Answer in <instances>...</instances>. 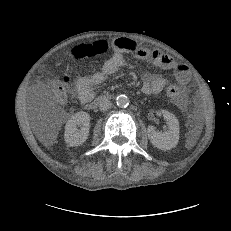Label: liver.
<instances>
[{
  "label": "liver",
  "instance_id": "1",
  "mask_svg": "<svg viewBox=\"0 0 231 231\" xmlns=\"http://www.w3.org/2000/svg\"><path fill=\"white\" fill-rule=\"evenodd\" d=\"M57 136V132H55L54 134H52V136H51V140H49V142L48 141H46V140H44L43 138H41V141L42 142H44V144L45 145H50V144H52V141L54 140V138Z\"/></svg>",
  "mask_w": 231,
  "mask_h": 231
}]
</instances>
